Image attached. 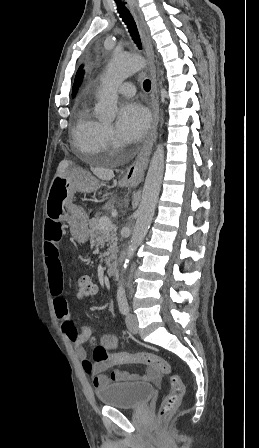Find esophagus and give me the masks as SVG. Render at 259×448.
<instances>
[{
  "label": "esophagus",
  "instance_id": "esophagus-1",
  "mask_svg": "<svg viewBox=\"0 0 259 448\" xmlns=\"http://www.w3.org/2000/svg\"><path fill=\"white\" fill-rule=\"evenodd\" d=\"M131 8L132 14L137 22L140 34L143 40V44L146 50L147 57L150 61V76L152 80L151 90V108H152V128L150 133L141 148L135 161L127 168L123 179L130 184H138L141 182L144 172L146 170L151 149L156 138L157 126L159 122V95L157 91L156 69H155V57L152 46V41L149 34L148 26L146 25L140 8L137 5L136 0H127Z\"/></svg>",
  "mask_w": 259,
  "mask_h": 448
}]
</instances>
